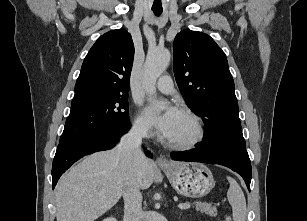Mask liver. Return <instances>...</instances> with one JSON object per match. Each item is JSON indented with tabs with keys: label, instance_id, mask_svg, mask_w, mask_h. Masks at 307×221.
<instances>
[{
	"label": "liver",
	"instance_id": "6515ba94",
	"mask_svg": "<svg viewBox=\"0 0 307 221\" xmlns=\"http://www.w3.org/2000/svg\"><path fill=\"white\" fill-rule=\"evenodd\" d=\"M129 166L116 148L85 157L64 174L55 191L57 221H94L121 198ZM155 164L133 167V183L147 189L154 179Z\"/></svg>",
	"mask_w": 307,
	"mask_h": 221
}]
</instances>
